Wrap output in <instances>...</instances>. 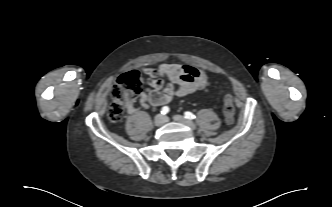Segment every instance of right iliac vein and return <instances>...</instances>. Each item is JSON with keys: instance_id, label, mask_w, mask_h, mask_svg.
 <instances>
[{"instance_id": "obj_1", "label": "right iliac vein", "mask_w": 332, "mask_h": 207, "mask_svg": "<svg viewBox=\"0 0 332 207\" xmlns=\"http://www.w3.org/2000/svg\"><path fill=\"white\" fill-rule=\"evenodd\" d=\"M166 122V118L162 114H158L154 118V123L156 126H162Z\"/></svg>"}]
</instances>
